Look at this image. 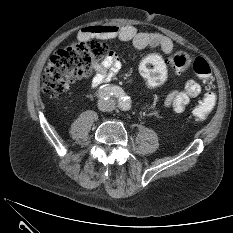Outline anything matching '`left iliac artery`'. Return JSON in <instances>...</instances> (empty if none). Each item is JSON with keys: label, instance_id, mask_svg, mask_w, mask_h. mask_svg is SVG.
<instances>
[{"label": "left iliac artery", "instance_id": "left-iliac-artery-1", "mask_svg": "<svg viewBox=\"0 0 233 233\" xmlns=\"http://www.w3.org/2000/svg\"><path fill=\"white\" fill-rule=\"evenodd\" d=\"M120 106L123 110H129L130 109V99L129 97H125L123 101L120 103Z\"/></svg>", "mask_w": 233, "mask_h": 233}]
</instances>
